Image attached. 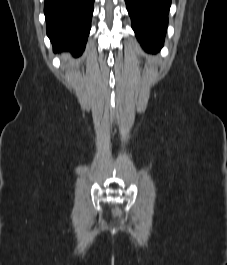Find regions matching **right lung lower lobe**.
Here are the masks:
<instances>
[{
  "label": "right lung lower lobe",
  "instance_id": "obj_1",
  "mask_svg": "<svg viewBox=\"0 0 227 265\" xmlns=\"http://www.w3.org/2000/svg\"><path fill=\"white\" fill-rule=\"evenodd\" d=\"M94 0H45L47 35L54 51L79 56L91 28Z\"/></svg>",
  "mask_w": 227,
  "mask_h": 265
}]
</instances>
